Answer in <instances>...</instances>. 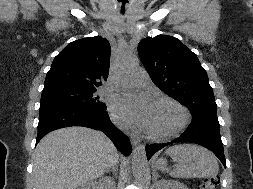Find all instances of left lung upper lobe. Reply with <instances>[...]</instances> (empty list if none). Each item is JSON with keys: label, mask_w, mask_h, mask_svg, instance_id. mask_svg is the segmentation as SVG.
Listing matches in <instances>:
<instances>
[{"label": "left lung upper lobe", "mask_w": 253, "mask_h": 189, "mask_svg": "<svg viewBox=\"0 0 253 189\" xmlns=\"http://www.w3.org/2000/svg\"><path fill=\"white\" fill-rule=\"evenodd\" d=\"M138 53L154 84L184 104L193 120L218 122L207 73L179 39L168 35L145 38L138 45Z\"/></svg>", "instance_id": "obj_1"}]
</instances>
